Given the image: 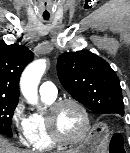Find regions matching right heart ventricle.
<instances>
[{"mask_svg":"<svg viewBox=\"0 0 130 153\" xmlns=\"http://www.w3.org/2000/svg\"><path fill=\"white\" fill-rule=\"evenodd\" d=\"M46 105H51L56 98L41 96ZM30 124V145L38 152L48 151L56 146V143L49 135L46 118L44 114L34 113L29 117Z\"/></svg>","mask_w":130,"mask_h":153,"instance_id":"right-heart-ventricle-1","label":"right heart ventricle"}]
</instances>
